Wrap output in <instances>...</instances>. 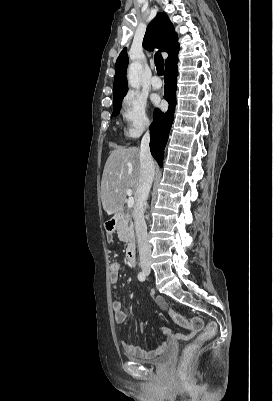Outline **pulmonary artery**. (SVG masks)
<instances>
[{
	"mask_svg": "<svg viewBox=\"0 0 273 401\" xmlns=\"http://www.w3.org/2000/svg\"><path fill=\"white\" fill-rule=\"evenodd\" d=\"M151 88L158 89L160 87V82L157 80V77H154V80L150 83Z\"/></svg>",
	"mask_w": 273,
	"mask_h": 401,
	"instance_id": "obj_1",
	"label": "pulmonary artery"
}]
</instances>
